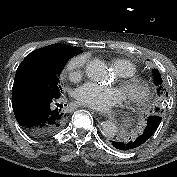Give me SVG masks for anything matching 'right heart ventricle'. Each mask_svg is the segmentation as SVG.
I'll list each match as a JSON object with an SVG mask.
<instances>
[{
    "instance_id": "right-heart-ventricle-1",
    "label": "right heart ventricle",
    "mask_w": 177,
    "mask_h": 177,
    "mask_svg": "<svg viewBox=\"0 0 177 177\" xmlns=\"http://www.w3.org/2000/svg\"><path fill=\"white\" fill-rule=\"evenodd\" d=\"M116 74L120 77H130L137 73L136 65L126 59H116L112 62Z\"/></svg>"
}]
</instances>
